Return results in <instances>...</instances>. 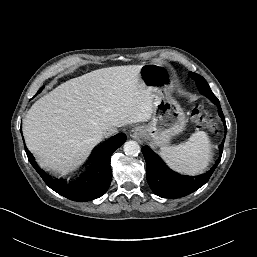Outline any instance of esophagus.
<instances>
[{
  "instance_id": "1",
  "label": "esophagus",
  "mask_w": 257,
  "mask_h": 257,
  "mask_svg": "<svg viewBox=\"0 0 257 257\" xmlns=\"http://www.w3.org/2000/svg\"><path fill=\"white\" fill-rule=\"evenodd\" d=\"M130 136L134 140L141 142L144 139V132L140 127H135L130 131Z\"/></svg>"
}]
</instances>
